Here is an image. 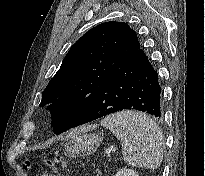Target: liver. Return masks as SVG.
Returning a JSON list of instances; mask_svg holds the SVG:
<instances>
[{
	"mask_svg": "<svg viewBox=\"0 0 205 176\" xmlns=\"http://www.w3.org/2000/svg\"><path fill=\"white\" fill-rule=\"evenodd\" d=\"M92 127H83L82 129H80V130H74L72 133H71V135L70 136H75V135H77L80 131H83V130H90ZM69 136V137H70Z\"/></svg>",
	"mask_w": 205,
	"mask_h": 176,
	"instance_id": "obj_1",
	"label": "liver"
}]
</instances>
